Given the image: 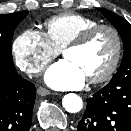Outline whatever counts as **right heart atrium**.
Wrapping results in <instances>:
<instances>
[{
    "mask_svg": "<svg viewBox=\"0 0 131 131\" xmlns=\"http://www.w3.org/2000/svg\"><path fill=\"white\" fill-rule=\"evenodd\" d=\"M12 52L17 66L28 75H35L60 51L50 43L44 33L27 29L14 39Z\"/></svg>",
    "mask_w": 131,
    "mask_h": 131,
    "instance_id": "1",
    "label": "right heart atrium"
}]
</instances>
